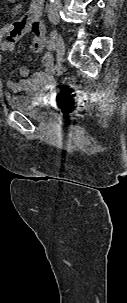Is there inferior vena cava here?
<instances>
[{
  "label": "inferior vena cava",
  "mask_w": 127,
  "mask_h": 303,
  "mask_svg": "<svg viewBox=\"0 0 127 303\" xmlns=\"http://www.w3.org/2000/svg\"><path fill=\"white\" fill-rule=\"evenodd\" d=\"M61 8V0H50L48 7V17L50 20H59V11Z\"/></svg>",
  "instance_id": "inferior-vena-cava-1"
}]
</instances>
